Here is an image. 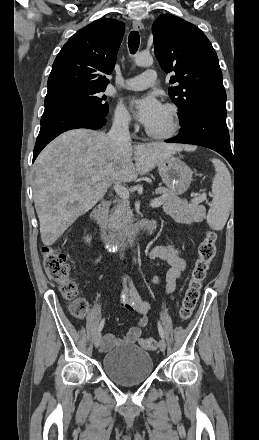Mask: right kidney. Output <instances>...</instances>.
Returning <instances> with one entry per match:
<instances>
[{
  "instance_id": "1",
  "label": "right kidney",
  "mask_w": 259,
  "mask_h": 440,
  "mask_svg": "<svg viewBox=\"0 0 259 440\" xmlns=\"http://www.w3.org/2000/svg\"><path fill=\"white\" fill-rule=\"evenodd\" d=\"M84 239H85V241H86L87 243L90 244V242H91V237H90V236H86Z\"/></svg>"
}]
</instances>
